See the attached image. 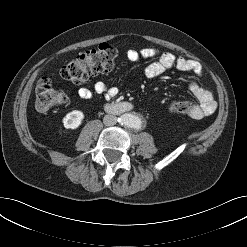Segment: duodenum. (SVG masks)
<instances>
[{
    "mask_svg": "<svg viewBox=\"0 0 247 247\" xmlns=\"http://www.w3.org/2000/svg\"><path fill=\"white\" fill-rule=\"evenodd\" d=\"M107 109L113 114H123L134 109V105L130 102L108 103Z\"/></svg>",
    "mask_w": 247,
    "mask_h": 247,
    "instance_id": "410a0bca",
    "label": "duodenum"
}]
</instances>
